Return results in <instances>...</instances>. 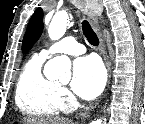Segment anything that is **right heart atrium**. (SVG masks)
<instances>
[{
	"instance_id": "obj_1",
	"label": "right heart atrium",
	"mask_w": 145,
	"mask_h": 124,
	"mask_svg": "<svg viewBox=\"0 0 145 124\" xmlns=\"http://www.w3.org/2000/svg\"><path fill=\"white\" fill-rule=\"evenodd\" d=\"M59 101L63 110L69 109L74 103V97L65 88H59Z\"/></svg>"
}]
</instances>
